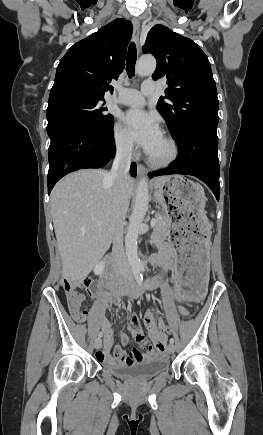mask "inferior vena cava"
<instances>
[{"instance_id": "inferior-vena-cava-1", "label": "inferior vena cava", "mask_w": 263, "mask_h": 435, "mask_svg": "<svg viewBox=\"0 0 263 435\" xmlns=\"http://www.w3.org/2000/svg\"><path fill=\"white\" fill-rule=\"evenodd\" d=\"M130 145L126 149L117 152L111 171L106 176V181L112 184L115 211L117 219L125 218L129 206V198L126 188V180L130 169L132 157ZM113 255L119 272L122 275H130L131 268L127 261L123 245V224L117 221L112 232Z\"/></svg>"}]
</instances>
